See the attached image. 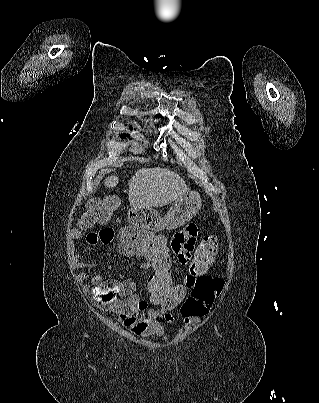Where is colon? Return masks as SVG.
<instances>
[{
  "instance_id": "colon-1",
  "label": "colon",
  "mask_w": 319,
  "mask_h": 403,
  "mask_svg": "<svg viewBox=\"0 0 319 403\" xmlns=\"http://www.w3.org/2000/svg\"><path fill=\"white\" fill-rule=\"evenodd\" d=\"M119 204L120 199L114 193L92 197L86 204L88 211L80 219V227L106 224L114 217ZM115 239L120 243L123 260H143V267L151 268L147 274V296L149 304H158V313H176L182 332L187 325H195L199 317L209 316L210 305L217 302L225 287L221 276H206L220 257V238H203V242H196L180 287L178 282H173L172 268H177V262L167 251L169 234H150L139 226H124ZM187 287H192L194 296H188ZM180 302L181 308H178Z\"/></svg>"
}]
</instances>
